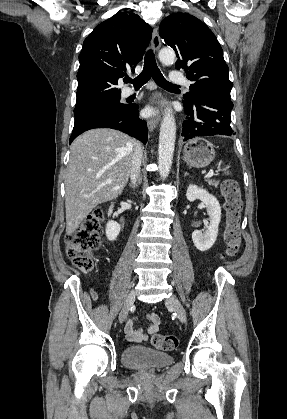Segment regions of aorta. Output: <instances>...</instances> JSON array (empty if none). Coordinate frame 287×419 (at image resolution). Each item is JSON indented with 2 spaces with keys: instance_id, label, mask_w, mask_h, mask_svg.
I'll return each instance as SVG.
<instances>
[{
  "instance_id": "762f6f07",
  "label": "aorta",
  "mask_w": 287,
  "mask_h": 419,
  "mask_svg": "<svg viewBox=\"0 0 287 419\" xmlns=\"http://www.w3.org/2000/svg\"><path fill=\"white\" fill-rule=\"evenodd\" d=\"M175 58V52L170 48H163L159 52V59L165 65L173 64ZM175 140L176 123L172 109L167 108L160 126L158 145V167L159 174L163 180L168 177L172 166Z\"/></svg>"
}]
</instances>
